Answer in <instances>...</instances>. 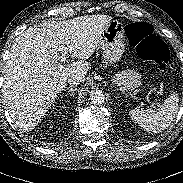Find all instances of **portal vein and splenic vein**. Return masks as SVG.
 Segmentation results:
<instances>
[{"instance_id":"obj_1","label":"portal vein and splenic vein","mask_w":183,"mask_h":183,"mask_svg":"<svg viewBox=\"0 0 183 183\" xmlns=\"http://www.w3.org/2000/svg\"><path fill=\"white\" fill-rule=\"evenodd\" d=\"M59 51L61 52V56H60L59 60L62 63L66 62V60H67V54H68V50H67L66 46L65 45H60L59 46ZM149 103L152 106H155V103H153V102H149Z\"/></svg>"}]
</instances>
